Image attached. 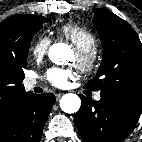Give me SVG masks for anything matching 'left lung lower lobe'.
Segmentation results:
<instances>
[{
    "mask_svg": "<svg viewBox=\"0 0 142 142\" xmlns=\"http://www.w3.org/2000/svg\"><path fill=\"white\" fill-rule=\"evenodd\" d=\"M81 98L75 123L85 142H121L133 131L142 108L119 104L101 97L99 101Z\"/></svg>",
    "mask_w": 142,
    "mask_h": 142,
    "instance_id": "left-lung-lower-lobe-1",
    "label": "left lung lower lobe"
}]
</instances>
